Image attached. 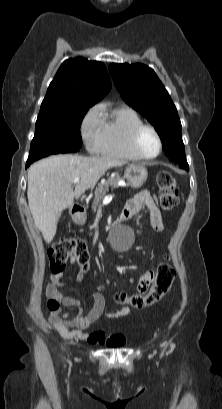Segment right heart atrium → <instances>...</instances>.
<instances>
[{
	"instance_id": "obj_1",
	"label": "right heart atrium",
	"mask_w": 222,
	"mask_h": 409,
	"mask_svg": "<svg viewBox=\"0 0 222 409\" xmlns=\"http://www.w3.org/2000/svg\"><path fill=\"white\" fill-rule=\"evenodd\" d=\"M102 130L101 108L99 105H95L86 112L80 125L82 139L90 152L98 151Z\"/></svg>"
}]
</instances>
